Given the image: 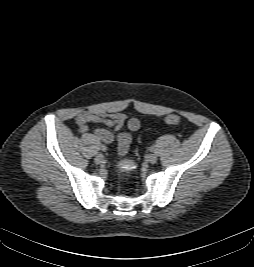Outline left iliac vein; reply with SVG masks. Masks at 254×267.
<instances>
[{
	"mask_svg": "<svg viewBox=\"0 0 254 267\" xmlns=\"http://www.w3.org/2000/svg\"><path fill=\"white\" fill-rule=\"evenodd\" d=\"M157 156L155 154H150L148 157H147V161L151 164H155L157 162Z\"/></svg>",
	"mask_w": 254,
	"mask_h": 267,
	"instance_id": "4c4485c4",
	"label": "left iliac vein"
}]
</instances>
